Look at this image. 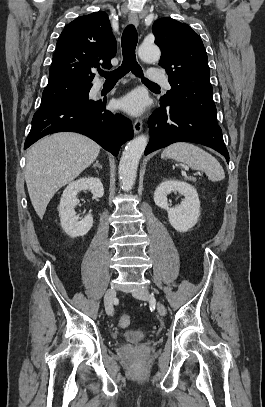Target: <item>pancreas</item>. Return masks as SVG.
I'll list each match as a JSON object with an SVG mask.
<instances>
[{"mask_svg": "<svg viewBox=\"0 0 265 407\" xmlns=\"http://www.w3.org/2000/svg\"><path fill=\"white\" fill-rule=\"evenodd\" d=\"M186 180L196 182V178L192 176L185 177Z\"/></svg>", "mask_w": 265, "mask_h": 407, "instance_id": "cf45deb5", "label": "pancreas"}]
</instances>
